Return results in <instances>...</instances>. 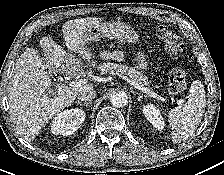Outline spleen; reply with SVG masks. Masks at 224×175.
I'll list each match as a JSON object with an SVG mask.
<instances>
[{
	"mask_svg": "<svg viewBox=\"0 0 224 175\" xmlns=\"http://www.w3.org/2000/svg\"><path fill=\"white\" fill-rule=\"evenodd\" d=\"M205 105L204 86L201 81H193L187 103L169 112V124L174 143H180L193 134L201 122Z\"/></svg>",
	"mask_w": 224,
	"mask_h": 175,
	"instance_id": "obj_1",
	"label": "spleen"
}]
</instances>
